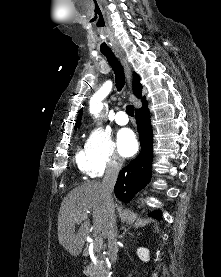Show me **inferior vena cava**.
Instances as JSON below:
<instances>
[{
    "instance_id": "1",
    "label": "inferior vena cava",
    "mask_w": 221,
    "mask_h": 277,
    "mask_svg": "<svg viewBox=\"0 0 221 277\" xmlns=\"http://www.w3.org/2000/svg\"><path fill=\"white\" fill-rule=\"evenodd\" d=\"M121 167H122V164L119 162H116L114 160L109 162L106 168L105 176L102 180L103 195L107 202V208L109 211L107 238H108V256L111 263H115L117 261L116 215H115V206L112 198V193Z\"/></svg>"
}]
</instances>
